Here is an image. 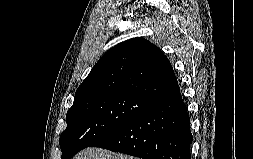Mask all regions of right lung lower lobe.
Wrapping results in <instances>:
<instances>
[{
	"mask_svg": "<svg viewBox=\"0 0 253 159\" xmlns=\"http://www.w3.org/2000/svg\"><path fill=\"white\" fill-rule=\"evenodd\" d=\"M190 118L180 91L154 103L92 147L142 159H191Z\"/></svg>",
	"mask_w": 253,
	"mask_h": 159,
	"instance_id": "1",
	"label": "right lung lower lobe"
}]
</instances>
